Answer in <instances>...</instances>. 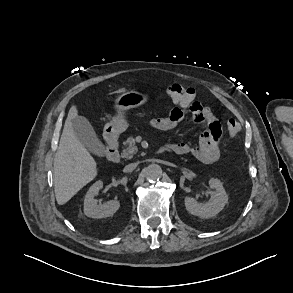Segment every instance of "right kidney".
I'll return each mask as SVG.
<instances>
[{"instance_id":"ca27d5eb","label":"right kidney","mask_w":293,"mask_h":293,"mask_svg":"<svg viewBox=\"0 0 293 293\" xmlns=\"http://www.w3.org/2000/svg\"><path fill=\"white\" fill-rule=\"evenodd\" d=\"M103 187L102 181H96L88 190L84 199V214L91 218H106L112 216L120 207L116 199L104 204H98L96 194Z\"/></svg>"}]
</instances>
